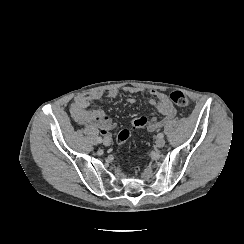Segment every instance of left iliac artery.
<instances>
[{"label": "left iliac artery", "mask_w": 244, "mask_h": 244, "mask_svg": "<svg viewBox=\"0 0 244 244\" xmlns=\"http://www.w3.org/2000/svg\"><path fill=\"white\" fill-rule=\"evenodd\" d=\"M157 137H158V138H163V137H164V134H163V133H159V134L157 135Z\"/></svg>", "instance_id": "left-iliac-artery-1"}]
</instances>
